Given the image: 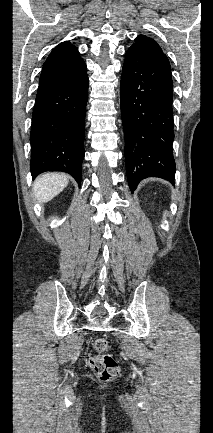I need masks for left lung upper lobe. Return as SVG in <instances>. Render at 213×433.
Masks as SVG:
<instances>
[{
    "label": "left lung upper lobe",
    "mask_w": 213,
    "mask_h": 433,
    "mask_svg": "<svg viewBox=\"0 0 213 433\" xmlns=\"http://www.w3.org/2000/svg\"><path fill=\"white\" fill-rule=\"evenodd\" d=\"M131 48L140 50L148 54L149 56L155 57L163 61L165 64L170 66L169 60L161 50V47L157 44L155 40L150 37H147L145 35H139L135 39V43L131 46Z\"/></svg>",
    "instance_id": "5c2ea615"
}]
</instances>
